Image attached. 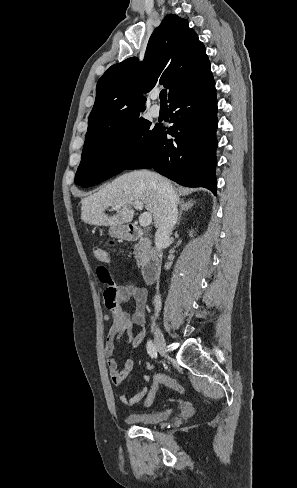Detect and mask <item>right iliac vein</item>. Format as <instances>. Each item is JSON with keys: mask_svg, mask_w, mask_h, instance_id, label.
<instances>
[{"mask_svg": "<svg viewBox=\"0 0 297 488\" xmlns=\"http://www.w3.org/2000/svg\"><path fill=\"white\" fill-rule=\"evenodd\" d=\"M154 342H155V346H156L157 350L159 351V353L162 355H167L166 342H165L163 333L159 327L155 328Z\"/></svg>", "mask_w": 297, "mask_h": 488, "instance_id": "1", "label": "right iliac vein"}]
</instances>
